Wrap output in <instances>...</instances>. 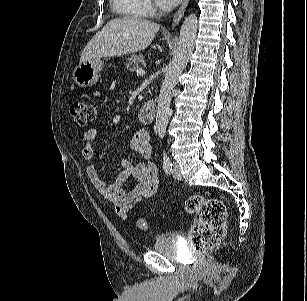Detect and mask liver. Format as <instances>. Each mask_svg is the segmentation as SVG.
Listing matches in <instances>:
<instances>
[{
  "instance_id": "1",
  "label": "liver",
  "mask_w": 307,
  "mask_h": 301,
  "mask_svg": "<svg viewBox=\"0 0 307 301\" xmlns=\"http://www.w3.org/2000/svg\"><path fill=\"white\" fill-rule=\"evenodd\" d=\"M159 28L158 23L135 17L112 19L85 46L80 63L144 50L151 44Z\"/></svg>"
}]
</instances>
